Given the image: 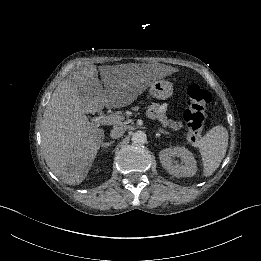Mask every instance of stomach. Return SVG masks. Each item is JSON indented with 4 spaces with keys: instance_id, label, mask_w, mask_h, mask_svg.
<instances>
[{
    "instance_id": "1",
    "label": "stomach",
    "mask_w": 261,
    "mask_h": 261,
    "mask_svg": "<svg viewBox=\"0 0 261 261\" xmlns=\"http://www.w3.org/2000/svg\"><path fill=\"white\" fill-rule=\"evenodd\" d=\"M173 85L166 80L155 81L151 87L152 95L161 100H166L173 95Z\"/></svg>"
}]
</instances>
